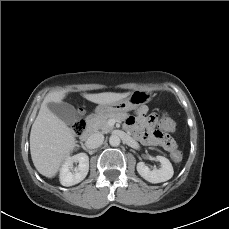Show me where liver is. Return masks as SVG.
Masks as SVG:
<instances>
[{
    "label": "liver",
    "instance_id": "obj_1",
    "mask_svg": "<svg viewBox=\"0 0 229 229\" xmlns=\"http://www.w3.org/2000/svg\"><path fill=\"white\" fill-rule=\"evenodd\" d=\"M66 94L67 90L60 89L45 96L30 132L33 164L40 174L48 178L57 174L77 142L73 131L48 108L50 102L61 103ZM129 95L130 92L82 93L85 99L96 104L114 103Z\"/></svg>",
    "mask_w": 229,
    "mask_h": 229
}]
</instances>
